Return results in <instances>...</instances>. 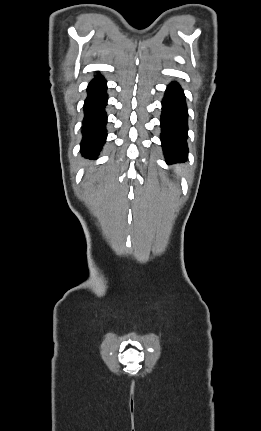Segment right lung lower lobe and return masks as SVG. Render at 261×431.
Returning a JSON list of instances; mask_svg holds the SVG:
<instances>
[{
  "label": "right lung lower lobe",
  "instance_id": "98d812e1",
  "mask_svg": "<svg viewBox=\"0 0 261 431\" xmlns=\"http://www.w3.org/2000/svg\"><path fill=\"white\" fill-rule=\"evenodd\" d=\"M107 86L103 76H96L87 88L88 96L84 104V119L82 126L81 153L97 158L106 142Z\"/></svg>",
  "mask_w": 261,
  "mask_h": 431
}]
</instances>
